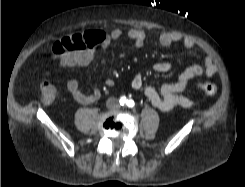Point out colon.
I'll return each instance as SVG.
<instances>
[{"label":"colon","instance_id":"colon-1","mask_svg":"<svg viewBox=\"0 0 245 187\" xmlns=\"http://www.w3.org/2000/svg\"><path fill=\"white\" fill-rule=\"evenodd\" d=\"M90 47L87 41L86 33H75L68 35L57 41L53 47L52 52L55 56L62 57L68 53L83 51ZM46 79L42 82L41 93L42 101L45 104H51L57 100L60 95L59 88L49 79L50 73H45ZM196 88L206 95L214 96L218 92V87L214 83L197 82Z\"/></svg>","mask_w":245,"mask_h":187}]
</instances>
